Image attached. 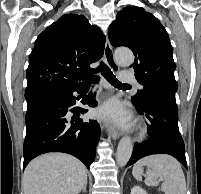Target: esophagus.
Here are the masks:
<instances>
[{
    "mask_svg": "<svg viewBox=\"0 0 201 194\" xmlns=\"http://www.w3.org/2000/svg\"><path fill=\"white\" fill-rule=\"evenodd\" d=\"M104 57H105V61H106L107 65L110 67V69L113 72H118L119 66L117 65V63L114 59L113 49H112V46L108 39H106V42H105ZM106 130H107V134H108L109 138H112L114 140L118 139L120 133L113 124L108 123L106 125Z\"/></svg>",
    "mask_w": 201,
    "mask_h": 194,
    "instance_id": "esophagus-1",
    "label": "esophagus"
}]
</instances>
